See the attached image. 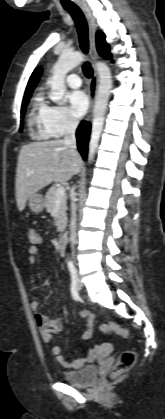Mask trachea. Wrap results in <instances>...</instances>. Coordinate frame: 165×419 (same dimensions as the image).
<instances>
[{"label": "trachea", "mask_w": 165, "mask_h": 419, "mask_svg": "<svg viewBox=\"0 0 165 419\" xmlns=\"http://www.w3.org/2000/svg\"><path fill=\"white\" fill-rule=\"evenodd\" d=\"M65 10H67L70 15L72 16L75 24H76V28L78 31V36H79V41H80V46L81 49L83 50L84 53L88 52V48H89V43H88V27H87V22L86 19L82 13V11L80 10V8L76 5L73 6H65L64 7ZM83 72L85 74V76L87 78H91L93 75V69L90 65L89 62H86L83 65Z\"/></svg>", "instance_id": "3493384b"}]
</instances>
